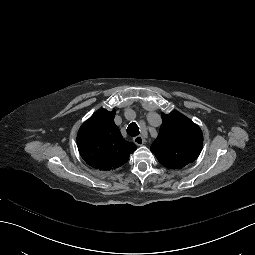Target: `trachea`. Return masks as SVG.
<instances>
[{"label": "trachea", "instance_id": "1", "mask_svg": "<svg viewBox=\"0 0 255 255\" xmlns=\"http://www.w3.org/2000/svg\"><path fill=\"white\" fill-rule=\"evenodd\" d=\"M140 133L139 131V127L135 122H132L131 124H129L128 128H127V134L131 137H135L138 136Z\"/></svg>", "mask_w": 255, "mask_h": 255}]
</instances>
